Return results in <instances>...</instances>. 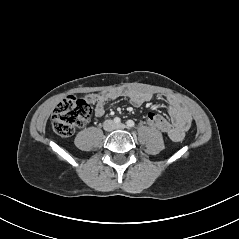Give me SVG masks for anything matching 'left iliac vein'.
Returning a JSON list of instances; mask_svg holds the SVG:
<instances>
[{"label":"left iliac vein","instance_id":"obj_1","mask_svg":"<svg viewBox=\"0 0 239 239\" xmlns=\"http://www.w3.org/2000/svg\"><path fill=\"white\" fill-rule=\"evenodd\" d=\"M126 126H125V124H123V123H121V124H117L116 126H115V128H117V129H124Z\"/></svg>","mask_w":239,"mask_h":239}]
</instances>
